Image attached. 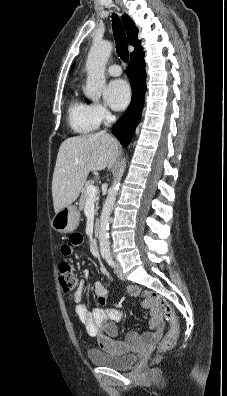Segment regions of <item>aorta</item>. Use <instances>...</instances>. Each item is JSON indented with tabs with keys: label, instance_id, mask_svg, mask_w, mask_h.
I'll return each mask as SVG.
<instances>
[{
	"label": "aorta",
	"instance_id": "762f6f07",
	"mask_svg": "<svg viewBox=\"0 0 227 396\" xmlns=\"http://www.w3.org/2000/svg\"><path fill=\"white\" fill-rule=\"evenodd\" d=\"M112 51V43L105 40H97L88 53L86 61L87 81L84 90L85 95L93 101H98L105 86V66ZM126 167L125 159L121 162L116 178L108 191V196L103 205L100 216L99 245L101 252H109V220L116 201L120 181Z\"/></svg>",
	"mask_w": 227,
	"mask_h": 396
}]
</instances>
